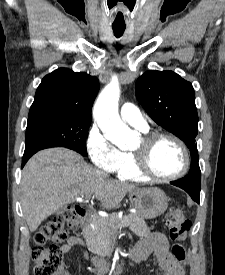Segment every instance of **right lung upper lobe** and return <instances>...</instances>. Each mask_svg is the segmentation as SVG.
<instances>
[{"label": "right lung upper lobe", "instance_id": "obj_1", "mask_svg": "<svg viewBox=\"0 0 225 275\" xmlns=\"http://www.w3.org/2000/svg\"><path fill=\"white\" fill-rule=\"evenodd\" d=\"M98 91L99 81L96 77L68 68H59L42 79L28 117H90V109Z\"/></svg>", "mask_w": 225, "mask_h": 275}]
</instances>
